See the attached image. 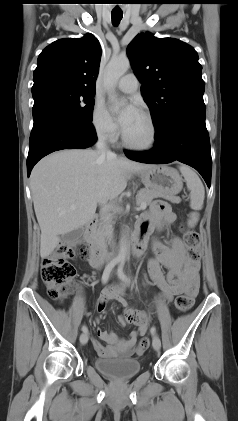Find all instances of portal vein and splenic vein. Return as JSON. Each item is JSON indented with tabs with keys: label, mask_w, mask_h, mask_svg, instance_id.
I'll return each mask as SVG.
<instances>
[{
	"label": "portal vein and splenic vein",
	"mask_w": 238,
	"mask_h": 421,
	"mask_svg": "<svg viewBox=\"0 0 238 421\" xmlns=\"http://www.w3.org/2000/svg\"><path fill=\"white\" fill-rule=\"evenodd\" d=\"M71 208H72V209H75V208H76V205H74V204H73V205L71 206ZM144 209H146V205H144V204L140 205L139 210H144Z\"/></svg>",
	"instance_id": "1"
}]
</instances>
